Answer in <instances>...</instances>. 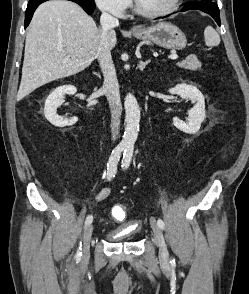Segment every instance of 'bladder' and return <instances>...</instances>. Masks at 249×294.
Here are the masks:
<instances>
[{"label":"bladder","instance_id":"bladder-1","mask_svg":"<svg viewBox=\"0 0 249 294\" xmlns=\"http://www.w3.org/2000/svg\"><path fill=\"white\" fill-rule=\"evenodd\" d=\"M142 229L136 228L133 230L127 229V227H122L120 229H117L115 231L109 232L106 234L107 241L111 243L119 242V241H126V240H132L139 234H141Z\"/></svg>","mask_w":249,"mask_h":294}]
</instances>
